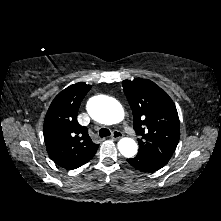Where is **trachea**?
Returning <instances> with one entry per match:
<instances>
[{
  "label": "trachea",
  "instance_id": "1",
  "mask_svg": "<svg viewBox=\"0 0 221 221\" xmlns=\"http://www.w3.org/2000/svg\"><path fill=\"white\" fill-rule=\"evenodd\" d=\"M99 136L101 138L110 136V131L106 128H102V129L99 130Z\"/></svg>",
  "mask_w": 221,
  "mask_h": 221
}]
</instances>
